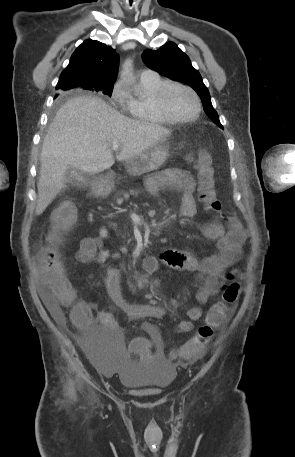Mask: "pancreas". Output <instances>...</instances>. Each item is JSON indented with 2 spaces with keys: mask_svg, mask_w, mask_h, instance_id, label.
<instances>
[{
  "mask_svg": "<svg viewBox=\"0 0 295 457\" xmlns=\"http://www.w3.org/2000/svg\"><path fill=\"white\" fill-rule=\"evenodd\" d=\"M129 194H131V195H137L138 192L135 191V190H131L130 193H125V194H123V197L117 199V203H118V204H121V203L123 202L124 199L129 198Z\"/></svg>",
  "mask_w": 295,
  "mask_h": 457,
  "instance_id": "pancreas-1",
  "label": "pancreas"
}]
</instances>
